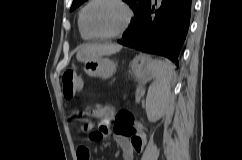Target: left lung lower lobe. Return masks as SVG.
Listing matches in <instances>:
<instances>
[{
  "mask_svg": "<svg viewBox=\"0 0 242 160\" xmlns=\"http://www.w3.org/2000/svg\"><path fill=\"white\" fill-rule=\"evenodd\" d=\"M191 11L192 0H147L118 43L165 56L178 65Z\"/></svg>",
  "mask_w": 242,
  "mask_h": 160,
  "instance_id": "left-lung-lower-lobe-1",
  "label": "left lung lower lobe"
}]
</instances>
